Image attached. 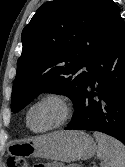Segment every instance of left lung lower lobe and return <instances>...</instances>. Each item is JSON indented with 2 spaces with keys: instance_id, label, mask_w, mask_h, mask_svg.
Instances as JSON below:
<instances>
[{
  "instance_id": "left-lung-lower-lobe-1",
  "label": "left lung lower lobe",
  "mask_w": 125,
  "mask_h": 167,
  "mask_svg": "<svg viewBox=\"0 0 125 167\" xmlns=\"http://www.w3.org/2000/svg\"><path fill=\"white\" fill-rule=\"evenodd\" d=\"M74 108L65 130L99 131L125 144V23L120 14L91 63Z\"/></svg>"
}]
</instances>
